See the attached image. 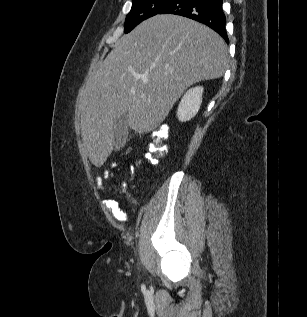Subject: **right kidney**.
I'll use <instances>...</instances> for the list:
<instances>
[{
  "instance_id": "right-kidney-1",
  "label": "right kidney",
  "mask_w": 307,
  "mask_h": 317,
  "mask_svg": "<svg viewBox=\"0 0 307 317\" xmlns=\"http://www.w3.org/2000/svg\"><path fill=\"white\" fill-rule=\"evenodd\" d=\"M202 94L203 87L200 86L191 88L184 94L177 109L179 121L186 122L195 117L202 103Z\"/></svg>"
}]
</instances>
